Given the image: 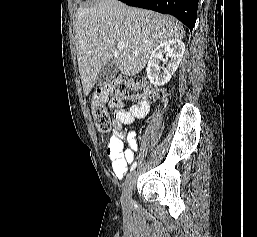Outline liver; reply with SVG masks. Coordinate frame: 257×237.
Returning <instances> with one entry per match:
<instances>
[{
  "mask_svg": "<svg viewBox=\"0 0 257 237\" xmlns=\"http://www.w3.org/2000/svg\"><path fill=\"white\" fill-rule=\"evenodd\" d=\"M74 29L85 95L108 62H114L124 76H134L142 71L159 44L180 40L185 35L174 17L129 7L117 0H98L92 6H80ZM117 41H123L126 48H116Z\"/></svg>",
  "mask_w": 257,
  "mask_h": 237,
  "instance_id": "liver-1",
  "label": "liver"
}]
</instances>
